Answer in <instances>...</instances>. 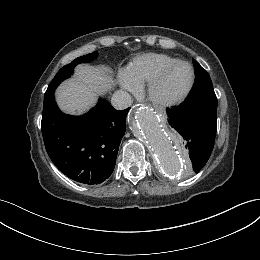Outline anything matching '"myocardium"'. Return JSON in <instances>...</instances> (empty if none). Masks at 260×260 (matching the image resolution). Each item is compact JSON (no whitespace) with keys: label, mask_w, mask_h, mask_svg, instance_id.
<instances>
[{"label":"myocardium","mask_w":260,"mask_h":260,"mask_svg":"<svg viewBox=\"0 0 260 260\" xmlns=\"http://www.w3.org/2000/svg\"><path fill=\"white\" fill-rule=\"evenodd\" d=\"M180 65H186L191 69L192 77H191V81H190L188 87L185 89V91L183 93H181L177 97L169 98V99L159 97L157 94V89L162 84V82L167 77V75L173 69H175L176 67H178ZM195 80H196V73H195V69L192 66V64H190L187 61L179 60V61L172 63V64L166 66L165 68H163L151 81H149V85H148V89H147L148 98L152 103L159 105V106H163V107L177 105L188 97V95L190 94V92L192 91V89L194 87Z\"/></svg>","instance_id":"f54148a6"}]
</instances>
